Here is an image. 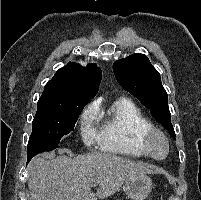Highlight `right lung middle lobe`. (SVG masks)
I'll return each mask as SVG.
<instances>
[{
  "label": "right lung middle lobe",
  "instance_id": "obj_1",
  "mask_svg": "<svg viewBox=\"0 0 201 200\" xmlns=\"http://www.w3.org/2000/svg\"><path fill=\"white\" fill-rule=\"evenodd\" d=\"M90 101L40 97L28 144H58L63 136L74 129L80 112Z\"/></svg>",
  "mask_w": 201,
  "mask_h": 200
}]
</instances>
